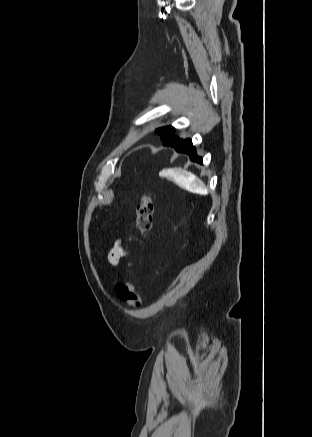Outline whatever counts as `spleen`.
Segmentation results:
<instances>
[{"label": "spleen", "mask_w": 312, "mask_h": 437, "mask_svg": "<svg viewBox=\"0 0 312 437\" xmlns=\"http://www.w3.org/2000/svg\"><path fill=\"white\" fill-rule=\"evenodd\" d=\"M165 176L176 182L181 187L195 193L207 194L208 189L205 184L199 180L194 174L185 172L182 174L173 172H164Z\"/></svg>", "instance_id": "obj_1"}]
</instances>
